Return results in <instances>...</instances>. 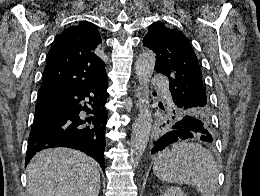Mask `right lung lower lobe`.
Returning <instances> with one entry per match:
<instances>
[{
    "instance_id": "obj_1",
    "label": "right lung lower lobe",
    "mask_w": 260,
    "mask_h": 196,
    "mask_svg": "<svg viewBox=\"0 0 260 196\" xmlns=\"http://www.w3.org/2000/svg\"><path fill=\"white\" fill-rule=\"evenodd\" d=\"M107 88L106 78L37 104L35 114L52 117L33 124L25 165L40 150L69 147L91 156L104 170Z\"/></svg>"
}]
</instances>
